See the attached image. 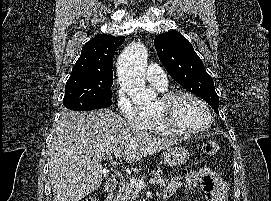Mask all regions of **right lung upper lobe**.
I'll use <instances>...</instances> for the list:
<instances>
[{"instance_id": "obj_1", "label": "right lung upper lobe", "mask_w": 271, "mask_h": 201, "mask_svg": "<svg viewBox=\"0 0 271 201\" xmlns=\"http://www.w3.org/2000/svg\"><path fill=\"white\" fill-rule=\"evenodd\" d=\"M124 40V36L96 35L83 46L81 56L73 66L72 74H113L114 53Z\"/></svg>"}]
</instances>
